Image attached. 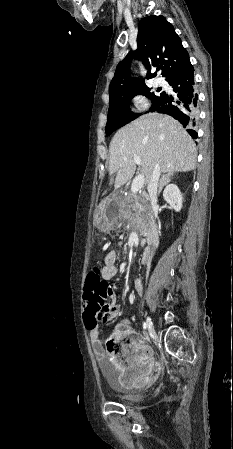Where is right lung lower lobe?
I'll list each match as a JSON object with an SVG mask.
<instances>
[{"label":"right lung lower lobe","mask_w":233,"mask_h":449,"mask_svg":"<svg viewBox=\"0 0 233 449\" xmlns=\"http://www.w3.org/2000/svg\"><path fill=\"white\" fill-rule=\"evenodd\" d=\"M166 81L172 86L174 94L170 95L164 92L152 111L174 117L196 139L197 132L194 130V126L198 116V96L195 92L193 66L191 63L187 64L185 68L171 75Z\"/></svg>","instance_id":"98d812e1"}]
</instances>
